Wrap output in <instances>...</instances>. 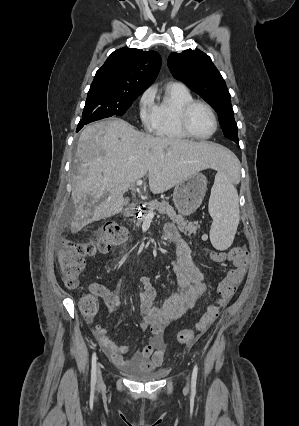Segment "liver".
Returning a JSON list of instances; mask_svg holds the SVG:
<instances>
[{
  "label": "liver",
  "mask_w": 299,
  "mask_h": 426,
  "mask_svg": "<svg viewBox=\"0 0 299 426\" xmlns=\"http://www.w3.org/2000/svg\"><path fill=\"white\" fill-rule=\"evenodd\" d=\"M237 161L222 145L154 137L121 119L83 129L74 162L71 231L120 213L124 192L148 173L149 188L163 193L201 170H222Z\"/></svg>",
  "instance_id": "obj_1"
}]
</instances>
